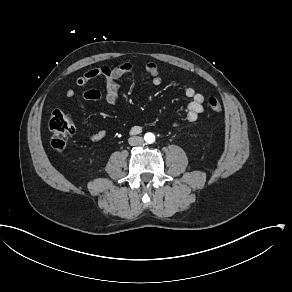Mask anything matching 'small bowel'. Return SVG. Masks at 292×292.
Returning a JSON list of instances; mask_svg holds the SVG:
<instances>
[{
	"label": "small bowel",
	"mask_w": 292,
	"mask_h": 292,
	"mask_svg": "<svg viewBox=\"0 0 292 292\" xmlns=\"http://www.w3.org/2000/svg\"><path fill=\"white\" fill-rule=\"evenodd\" d=\"M133 69L132 64L128 62L119 63L114 66H100L87 70L75 80L77 86H85L91 80L96 78H103L106 83V90L102 93L96 89H90L83 93V98L89 101H98L104 99L108 105L112 107L119 106L118 91L120 88L119 80L129 74ZM145 70L151 77L154 85L158 86L162 83V78L159 74L158 66L154 62H148L145 65ZM185 96L190 99V102L184 108V121L186 123L195 122L204 110V96L198 93L195 88L188 86L185 88ZM75 90L69 88L66 90L65 95L67 98L75 96ZM172 126H178L180 121L172 117L169 120ZM79 133L90 141L97 142L105 138L106 132L104 130L95 133H88L83 129Z\"/></svg>",
	"instance_id": "small-bowel-1"
}]
</instances>
